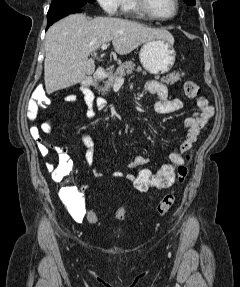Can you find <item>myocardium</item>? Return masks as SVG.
<instances>
[{
	"mask_svg": "<svg viewBox=\"0 0 240 287\" xmlns=\"http://www.w3.org/2000/svg\"><path fill=\"white\" fill-rule=\"evenodd\" d=\"M138 9L140 12L145 15L146 17L160 22L170 21L174 19L180 10V3L179 0H174V12L169 16H158L156 15L150 8L148 0H136Z\"/></svg>",
	"mask_w": 240,
	"mask_h": 287,
	"instance_id": "obj_1",
	"label": "myocardium"
}]
</instances>
